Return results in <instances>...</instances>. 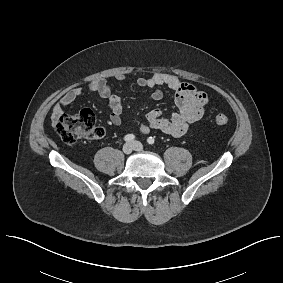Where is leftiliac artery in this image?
I'll return each instance as SVG.
<instances>
[{
  "label": "left iliac artery",
  "mask_w": 283,
  "mask_h": 283,
  "mask_svg": "<svg viewBox=\"0 0 283 283\" xmlns=\"http://www.w3.org/2000/svg\"><path fill=\"white\" fill-rule=\"evenodd\" d=\"M147 142H148V144H150V145L154 144V138H153V137H149V138L147 139Z\"/></svg>",
  "instance_id": "44dca946"
}]
</instances>
